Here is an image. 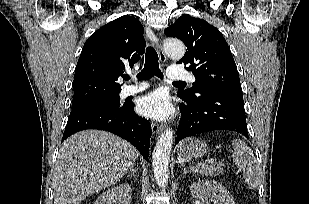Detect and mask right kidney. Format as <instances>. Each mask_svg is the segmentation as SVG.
<instances>
[{
    "instance_id": "ca27d5eb",
    "label": "right kidney",
    "mask_w": 309,
    "mask_h": 204,
    "mask_svg": "<svg viewBox=\"0 0 309 204\" xmlns=\"http://www.w3.org/2000/svg\"><path fill=\"white\" fill-rule=\"evenodd\" d=\"M131 195V186L121 184L102 193L95 204H115L116 201H120L121 204H130Z\"/></svg>"
}]
</instances>
